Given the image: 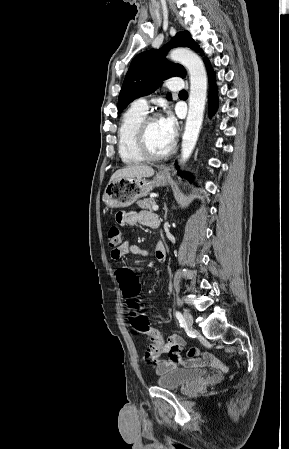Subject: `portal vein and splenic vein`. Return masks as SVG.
<instances>
[{
    "instance_id": "portal-vein-and-splenic-vein-1",
    "label": "portal vein and splenic vein",
    "mask_w": 289,
    "mask_h": 449,
    "mask_svg": "<svg viewBox=\"0 0 289 449\" xmlns=\"http://www.w3.org/2000/svg\"><path fill=\"white\" fill-rule=\"evenodd\" d=\"M158 208H159V207H158V205H156V204H155V205H153V207H152L153 211H157V210H158Z\"/></svg>"
}]
</instances>
